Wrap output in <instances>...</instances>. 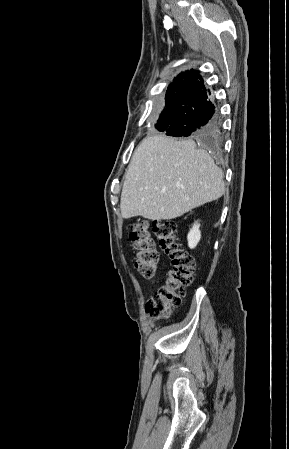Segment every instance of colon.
<instances>
[{"label": "colon", "instance_id": "colon-1", "mask_svg": "<svg viewBox=\"0 0 289 449\" xmlns=\"http://www.w3.org/2000/svg\"><path fill=\"white\" fill-rule=\"evenodd\" d=\"M150 227L171 260L165 281L146 306L151 317L161 319L169 315L173 306L180 304L184 288L192 282L195 261L180 242L174 221L157 220L152 223L145 220L138 221L130 227V239L136 250L135 268L141 276L146 279L153 278L159 260L155 242L150 235Z\"/></svg>", "mask_w": 289, "mask_h": 449}]
</instances>
